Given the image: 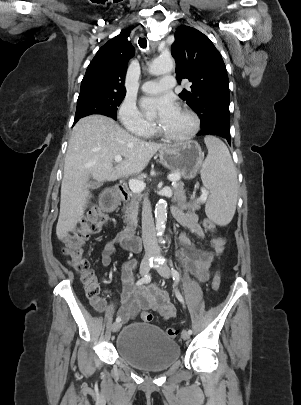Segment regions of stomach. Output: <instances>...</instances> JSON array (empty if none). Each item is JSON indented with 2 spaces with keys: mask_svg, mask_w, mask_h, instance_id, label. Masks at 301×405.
I'll return each mask as SVG.
<instances>
[{
  "mask_svg": "<svg viewBox=\"0 0 301 405\" xmlns=\"http://www.w3.org/2000/svg\"><path fill=\"white\" fill-rule=\"evenodd\" d=\"M160 162L172 172H180L184 179H192L199 171L203 153L193 140L168 145L159 151Z\"/></svg>",
  "mask_w": 301,
  "mask_h": 405,
  "instance_id": "stomach-1",
  "label": "stomach"
}]
</instances>
